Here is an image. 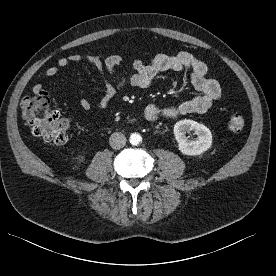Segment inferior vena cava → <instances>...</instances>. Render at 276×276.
Listing matches in <instances>:
<instances>
[{
  "label": "inferior vena cava",
  "instance_id": "1",
  "mask_svg": "<svg viewBox=\"0 0 276 276\" xmlns=\"http://www.w3.org/2000/svg\"><path fill=\"white\" fill-rule=\"evenodd\" d=\"M126 141L127 140L125 135L121 132H115L109 138L110 146L115 150L123 148L126 144Z\"/></svg>",
  "mask_w": 276,
  "mask_h": 276
}]
</instances>
